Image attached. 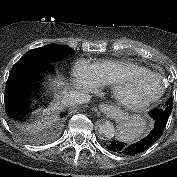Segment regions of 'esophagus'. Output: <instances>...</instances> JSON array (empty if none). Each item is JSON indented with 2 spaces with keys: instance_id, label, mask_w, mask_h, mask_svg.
<instances>
[{
  "instance_id": "34e87169",
  "label": "esophagus",
  "mask_w": 177,
  "mask_h": 177,
  "mask_svg": "<svg viewBox=\"0 0 177 177\" xmlns=\"http://www.w3.org/2000/svg\"><path fill=\"white\" fill-rule=\"evenodd\" d=\"M99 110L104 113V114H111L114 110L113 106L108 105V104H100L99 105Z\"/></svg>"
}]
</instances>
